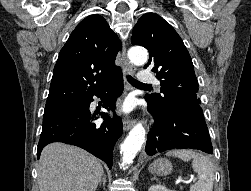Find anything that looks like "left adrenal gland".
<instances>
[{
  "mask_svg": "<svg viewBox=\"0 0 251 191\" xmlns=\"http://www.w3.org/2000/svg\"><path fill=\"white\" fill-rule=\"evenodd\" d=\"M152 179H157V177H152Z\"/></svg>",
  "mask_w": 251,
  "mask_h": 191,
  "instance_id": "left-adrenal-gland-1",
  "label": "left adrenal gland"
}]
</instances>
